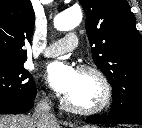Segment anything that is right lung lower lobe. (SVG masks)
Returning a JSON list of instances; mask_svg holds the SVG:
<instances>
[{"label":"right lung lower lobe","mask_w":142,"mask_h":128,"mask_svg":"<svg viewBox=\"0 0 142 128\" xmlns=\"http://www.w3.org/2000/svg\"><path fill=\"white\" fill-rule=\"evenodd\" d=\"M35 95L28 100H0V114H16L29 111L33 104Z\"/></svg>","instance_id":"1"}]
</instances>
